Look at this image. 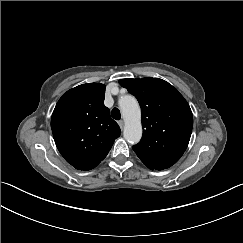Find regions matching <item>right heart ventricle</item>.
Listing matches in <instances>:
<instances>
[{
	"mask_svg": "<svg viewBox=\"0 0 243 243\" xmlns=\"http://www.w3.org/2000/svg\"><path fill=\"white\" fill-rule=\"evenodd\" d=\"M130 97L129 96H126V98H124V99H129Z\"/></svg>",
	"mask_w": 243,
	"mask_h": 243,
	"instance_id": "1",
	"label": "right heart ventricle"
}]
</instances>
